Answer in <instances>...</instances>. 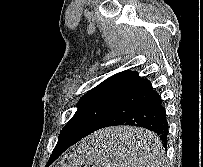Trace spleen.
I'll list each match as a JSON object with an SVG mask.
<instances>
[{"instance_id":"obj_1","label":"spleen","mask_w":203,"mask_h":167,"mask_svg":"<svg viewBox=\"0 0 203 167\" xmlns=\"http://www.w3.org/2000/svg\"><path fill=\"white\" fill-rule=\"evenodd\" d=\"M138 167H164V148L155 135L147 133L139 144ZM112 139L106 138L101 133H96L86 140H83L79 153L90 162L99 167H129L128 163L115 160L111 148Z\"/></svg>"}]
</instances>
